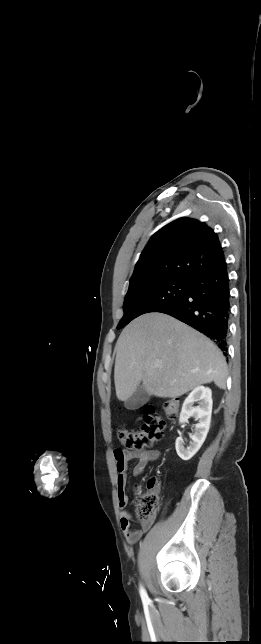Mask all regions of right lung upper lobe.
Instances as JSON below:
<instances>
[{"label": "right lung upper lobe", "instance_id": "obj_1", "mask_svg": "<svg viewBox=\"0 0 261 644\" xmlns=\"http://www.w3.org/2000/svg\"><path fill=\"white\" fill-rule=\"evenodd\" d=\"M224 260L211 228L195 219L179 218L152 236L136 263L129 289L168 278L190 280Z\"/></svg>", "mask_w": 261, "mask_h": 644}]
</instances>
